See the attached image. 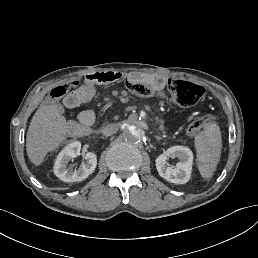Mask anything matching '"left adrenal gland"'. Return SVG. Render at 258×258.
I'll return each instance as SVG.
<instances>
[{
	"mask_svg": "<svg viewBox=\"0 0 258 258\" xmlns=\"http://www.w3.org/2000/svg\"><path fill=\"white\" fill-rule=\"evenodd\" d=\"M156 139L160 140V139H161V137L157 135V136H156Z\"/></svg>",
	"mask_w": 258,
	"mask_h": 258,
	"instance_id": "a2214340",
	"label": "left adrenal gland"
}]
</instances>
